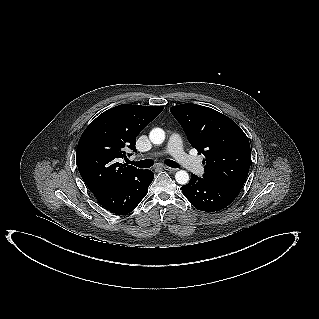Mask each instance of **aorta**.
I'll return each mask as SVG.
<instances>
[{
  "mask_svg": "<svg viewBox=\"0 0 319 319\" xmlns=\"http://www.w3.org/2000/svg\"><path fill=\"white\" fill-rule=\"evenodd\" d=\"M150 141L153 144H161L165 140V132L161 128H154L149 134ZM177 183L185 185L189 182V175L186 171L180 170L175 174Z\"/></svg>",
  "mask_w": 319,
  "mask_h": 319,
  "instance_id": "762f6f07",
  "label": "aorta"
}]
</instances>
